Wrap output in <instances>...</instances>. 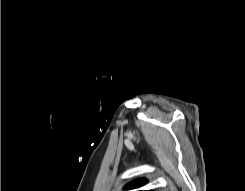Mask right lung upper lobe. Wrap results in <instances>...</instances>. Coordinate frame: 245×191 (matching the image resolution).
Listing matches in <instances>:
<instances>
[{
  "label": "right lung upper lobe",
  "instance_id": "right-lung-upper-lobe-1",
  "mask_svg": "<svg viewBox=\"0 0 245 191\" xmlns=\"http://www.w3.org/2000/svg\"><path fill=\"white\" fill-rule=\"evenodd\" d=\"M146 183V180L145 179H138V180H135L131 183H129L128 185L125 186L124 189H134V188H137V187H140L142 185H144Z\"/></svg>",
  "mask_w": 245,
  "mask_h": 191
}]
</instances>
